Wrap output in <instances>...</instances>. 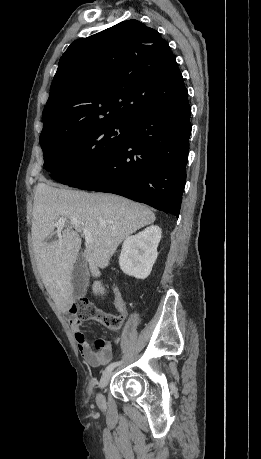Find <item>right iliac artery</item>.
Masks as SVG:
<instances>
[{"mask_svg": "<svg viewBox=\"0 0 261 459\" xmlns=\"http://www.w3.org/2000/svg\"><path fill=\"white\" fill-rule=\"evenodd\" d=\"M121 362H113L110 365H108L105 369V371H111L113 370L116 366H118Z\"/></svg>", "mask_w": 261, "mask_h": 459, "instance_id": "1", "label": "right iliac artery"}]
</instances>
